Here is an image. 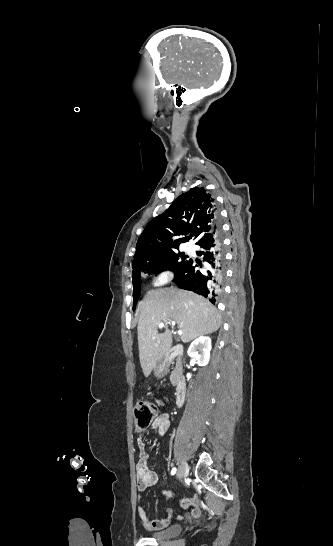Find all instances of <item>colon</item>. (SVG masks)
<instances>
[{
  "instance_id": "obj_1",
  "label": "colon",
  "mask_w": 333,
  "mask_h": 546,
  "mask_svg": "<svg viewBox=\"0 0 333 546\" xmlns=\"http://www.w3.org/2000/svg\"><path fill=\"white\" fill-rule=\"evenodd\" d=\"M158 405L150 401H139L134 407V426L139 432L147 429L156 419Z\"/></svg>"
}]
</instances>
